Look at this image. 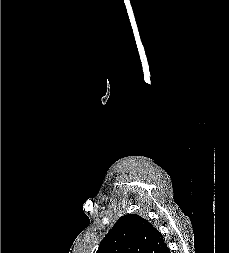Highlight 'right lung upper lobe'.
Returning a JSON list of instances; mask_svg holds the SVG:
<instances>
[{"label": "right lung upper lobe", "mask_w": 229, "mask_h": 253, "mask_svg": "<svg viewBox=\"0 0 229 253\" xmlns=\"http://www.w3.org/2000/svg\"><path fill=\"white\" fill-rule=\"evenodd\" d=\"M162 234L136 214L120 217L104 237L96 253H165Z\"/></svg>", "instance_id": "cb5924a9"}]
</instances>
